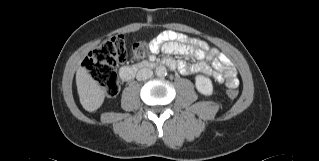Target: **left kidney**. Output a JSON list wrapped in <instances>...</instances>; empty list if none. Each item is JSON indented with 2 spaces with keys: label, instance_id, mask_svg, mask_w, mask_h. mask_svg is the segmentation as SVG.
Here are the masks:
<instances>
[{
  "label": "left kidney",
  "instance_id": "obj_1",
  "mask_svg": "<svg viewBox=\"0 0 319 161\" xmlns=\"http://www.w3.org/2000/svg\"><path fill=\"white\" fill-rule=\"evenodd\" d=\"M195 85L198 92L203 95L210 96L213 93V85L210 78L203 75H197L195 78Z\"/></svg>",
  "mask_w": 319,
  "mask_h": 161
}]
</instances>
